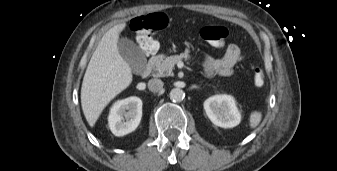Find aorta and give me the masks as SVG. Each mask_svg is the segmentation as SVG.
<instances>
[{"instance_id": "762f6f07", "label": "aorta", "mask_w": 337, "mask_h": 171, "mask_svg": "<svg viewBox=\"0 0 337 171\" xmlns=\"http://www.w3.org/2000/svg\"><path fill=\"white\" fill-rule=\"evenodd\" d=\"M184 92L182 89L180 88H173L171 91H170V99L173 101V102H181L183 99H184Z\"/></svg>"}]
</instances>
